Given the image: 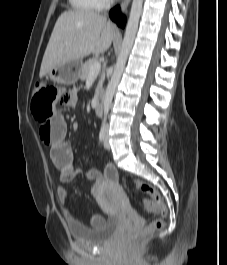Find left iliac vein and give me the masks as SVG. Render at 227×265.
Instances as JSON below:
<instances>
[{"mask_svg": "<svg viewBox=\"0 0 227 265\" xmlns=\"http://www.w3.org/2000/svg\"><path fill=\"white\" fill-rule=\"evenodd\" d=\"M104 147L106 149L110 148V144H109V135H108V128L106 129V134H105V139H104Z\"/></svg>", "mask_w": 227, "mask_h": 265, "instance_id": "obj_1", "label": "left iliac vein"}]
</instances>
